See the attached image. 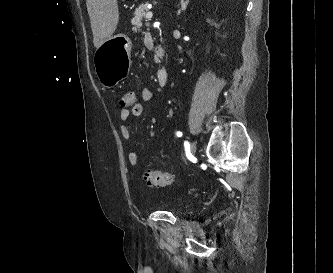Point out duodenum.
Instances as JSON below:
<instances>
[{
	"label": "duodenum",
	"instance_id": "1",
	"mask_svg": "<svg viewBox=\"0 0 333 273\" xmlns=\"http://www.w3.org/2000/svg\"><path fill=\"white\" fill-rule=\"evenodd\" d=\"M169 79V71L167 68H161L157 72V80L160 86H166Z\"/></svg>",
	"mask_w": 333,
	"mask_h": 273
}]
</instances>
